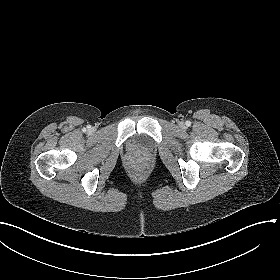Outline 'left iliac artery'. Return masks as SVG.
Listing matches in <instances>:
<instances>
[{
    "mask_svg": "<svg viewBox=\"0 0 280 280\" xmlns=\"http://www.w3.org/2000/svg\"><path fill=\"white\" fill-rule=\"evenodd\" d=\"M186 125H187V126H190V125H191V122H190V121H186Z\"/></svg>",
    "mask_w": 280,
    "mask_h": 280,
    "instance_id": "44dca946",
    "label": "left iliac artery"
}]
</instances>
